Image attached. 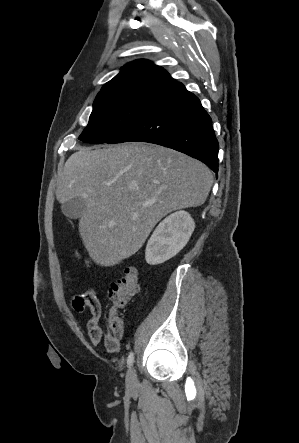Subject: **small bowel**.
<instances>
[{"mask_svg":"<svg viewBox=\"0 0 299 443\" xmlns=\"http://www.w3.org/2000/svg\"><path fill=\"white\" fill-rule=\"evenodd\" d=\"M75 309L82 311L88 308L91 313V318L87 322V330L91 343L97 346L104 341L106 349L109 352H116L119 349V337L113 336L109 333L104 334L99 325V319L102 314V306L98 299L97 292L90 289L82 296H77L73 300Z\"/></svg>","mask_w":299,"mask_h":443,"instance_id":"obj_1","label":"small bowel"}]
</instances>
